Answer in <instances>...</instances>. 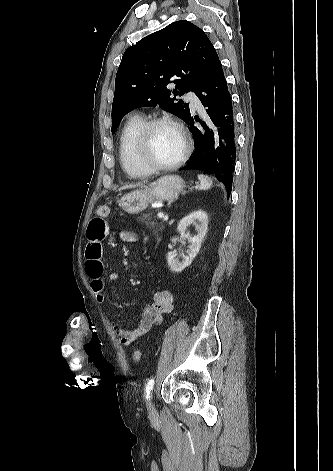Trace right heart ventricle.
Wrapping results in <instances>:
<instances>
[{
  "label": "right heart ventricle",
  "mask_w": 333,
  "mask_h": 471,
  "mask_svg": "<svg viewBox=\"0 0 333 471\" xmlns=\"http://www.w3.org/2000/svg\"><path fill=\"white\" fill-rule=\"evenodd\" d=\"M145 124L138 115L130 117L123 125L119 136V161L123 171L131 178H143L151 172L137 158V139Z\"/></svg>",
  "instance_id": "right-heart-ventricle-1"
}]
</instances>
